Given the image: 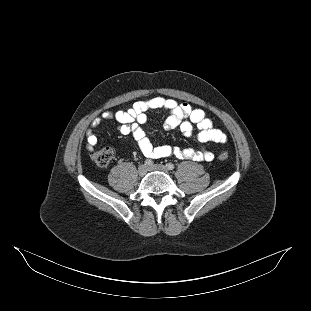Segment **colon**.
Returning <instances> with one entry per match:
<instances>
[{"label":"colon","mask_w":311,"mask_h":311,"mask_svg":"<svg viewBox=\"0 0 311 311\" xmlns=\"http://www.w3.org/2000/svg\"><path fill=\"white\" fill-rule=\"evenodd\" d=\"M114 152L111 148H102L99 150H94L91 152L92 161L99 167H106L112 160ZM229 157L227 151H221L218 154V159L220 161H226Z\"/></svg>","instance_id":"1"}]
</instances>
